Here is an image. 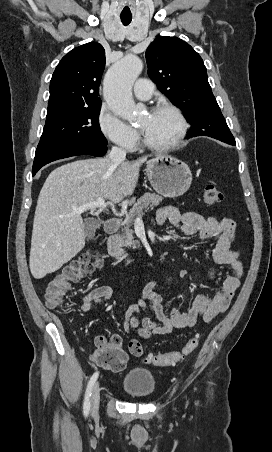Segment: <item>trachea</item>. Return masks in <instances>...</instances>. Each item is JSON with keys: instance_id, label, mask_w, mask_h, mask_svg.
I'll list each match as a JSON object with an SVG mask.
<instances>
[{"instance_id": "1", "label": "trachea", "mask_w": 272, "mask_h": 452, "mask_svg": "<svg viewBox=\"0 0 272 452\" xmlns=\"http://www.w3.org/2000/svg\"><path fill=\"white\" fill-rule=\"evenodd\" d=\"M123 25H128L132 21V16H120Z\"/></svg>"}]
</instances>
